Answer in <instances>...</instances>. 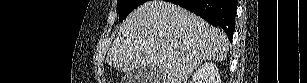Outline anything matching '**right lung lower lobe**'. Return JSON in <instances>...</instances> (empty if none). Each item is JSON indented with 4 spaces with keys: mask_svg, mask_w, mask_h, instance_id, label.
Instances as JSON below:
<instances>
[{
    "mask_svg": "<svg viewBox=\"0 0 307 83\" xmlns=\"http://www.w3.org/2000/svg\"><path fill=\"white\" fill-rule=\"evenodd\" d=\"M170 2L194 12L213 26H220L232 40L237 0H171Z\"/></svg>",
    "mask_w": 307,
    "mask_h": 83,
    "instance_id": "98d812e1",
    "label": "right lung lower lobe"
}]
</instances>
